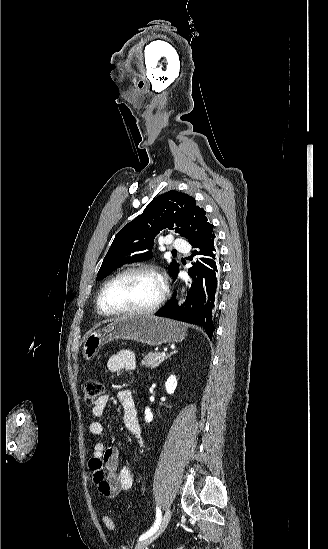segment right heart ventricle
Here are the masks:
<instances>
[{
	"instance_id": "e07e8e85",
	"label": "right heart ventricle",
	"mask_w": 328,
	"mask_h": 549,
	"mask_svg": "<svg viewBox=\"0 0 328 549\" xmlns=\"http://www.w3.org/2000/svg\"><path fill=\"white\" fill-rule=\"evenodd\" d=\"M97 311H98V310H97ZM98 313H99V315H100V316H102V317H106V316L102 315V314H101V313H100L99 311H98Z\"/></svg>"
}]
</instances>
